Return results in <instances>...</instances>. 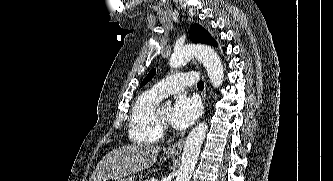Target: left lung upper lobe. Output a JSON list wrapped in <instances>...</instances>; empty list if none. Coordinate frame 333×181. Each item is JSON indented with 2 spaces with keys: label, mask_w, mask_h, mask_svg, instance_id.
I'll list each match as a JSON object with an SVG mask.
<instances>
[{
  "label": "left lung upper lobe",
  "mask_w": 333,
  "mask_h": 181,
  "mask_svg": "<svg viewBox=\"0 0 333 181\" xmlns=\"http://www.w3.org/2000/svg\"><path fill=\"white\" fill-rule=\"evenodd\" d=\"M189 38L194 43H206L211 44L213 46H217L215 40L211 37V35L199 24H193L190 28ZM156 70L152 69L147 77L142 81L141 86L145 85L148 81L152 79L155 75Z\"/></svg>",
  "instance_id": "left-lung-upper-lobe-1"
}]
</instances>
